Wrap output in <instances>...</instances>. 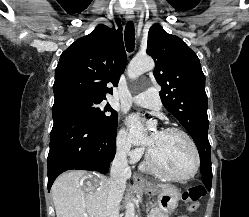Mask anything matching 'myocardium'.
I'll list each match as a JSON object with an SVG mask.
<instances>
[{"label": "myocardium", "instance_id": "obj_1", "mask_svg": "<svg viewBox=\"0 0 249 217\" xmlns=\"http://www.w3.org/2000/svg\"><path fill=\"white\" fill-rule=\"evenodd\" d=\"M161 132L164 133H178L180 135H182L190 144L192 150H193V154H194V166L191 172H189L186 175H182V176H178V175H173L169 172H167L166 170H164L155 160L152 150L151 148L147 151L146 154V161L147 164L149 166V168L158 176L168 179V180H173V181H186L189 180L191 178H193L199 168H200V153H199V149L197 147V144L195 143L194 139L191 137V135L186 132L185 130L178 128V127H166L164 129L161 130Z\"/></svg>", "mask_w": 249, "mask_h": 217}]
</instances>
